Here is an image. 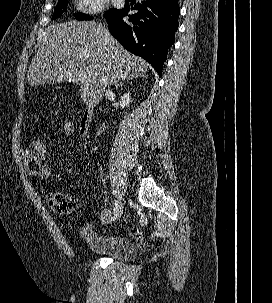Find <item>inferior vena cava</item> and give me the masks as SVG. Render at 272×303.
Returning a JSON list of instances; mask_svg holds the SVG:
<instances>
[{"instance_id": "1", "label": "inferior vena cava", "mask_w": 272, "mask_h": 303, "mask_svg": "<svg viewBox=\"0 0 272 303\" xmlns=\"http://www.w3.org/2000/svg\"><path fill=\"white\" fill-rule=\"evenodd\" d=\"M106 83H107V81H106ZM104 95H105L106 98H107V97L110 98L111 96H113V92H112V90L110 89V86H109V85H108V87L106 88Z\"/></svg>"}]
</instances>
